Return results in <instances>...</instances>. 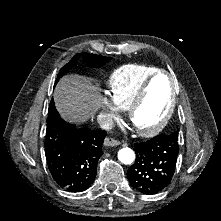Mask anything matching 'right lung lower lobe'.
<instances>
[{
    "mask_svg": "<svg viewBox=\"0 0 221 221\" xmlns=\"http://www.w3.org/2000/svg\"><path fill=\"white\" fill-rule=\"evenodd\" d=\"M104 130L76 128L58 114L53 99L50 102L45 155L53 179L63 189L82 192L88 189L96 176L97 163L102 156Z\"/></svg>",
    "mask_w": 221,
    "mask_h": 221,
    "instance_id": "obj_1",
    "label": "right lung lower lobe"
}]
</instances>
